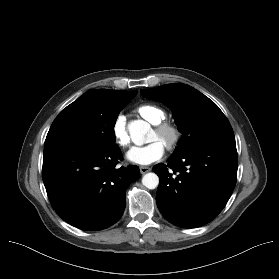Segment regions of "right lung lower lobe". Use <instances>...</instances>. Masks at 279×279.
<instances>
[{
  "mask_svg": "<svg viewBox=\"0 0 279 279\" xmlns=\"http://www.w3.org/2000/svg\"><path fill=\"white\" fill-rule=\"evenodd\" d=\"M118 146L106 151L64 144L43 153V182L56 213L83 230H101L116 223L126 205L125 192L135 182L137 166L116 167Z\"/></svg>",
  "mask_w": 279,
  "mask_h": 279,
  "instance_id": "right-lung-lower-lobe-1",
  "label": "right lung lower lobe"
}]
</instances>
